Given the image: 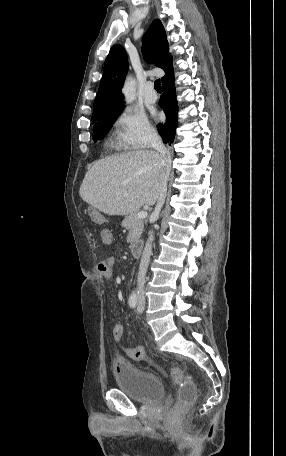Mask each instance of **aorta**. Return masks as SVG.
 Returning <instances> with one entry per match:
<instances>
[{"mask_svg": "<svg viewBox=\"0 0 286 456\" xmlns=\"http://www.w3.org/2000/svg\"><path fill=\"white\" fill-rule=\"evenodd\" d=\"M136 82L132 77H128L124 83L122 93L127 103H131L135 99Z\"/></svg>", "mask_w": 286, "mask_h": 456, "instance_id": "1", "label": "aorta"}]
</instances>
